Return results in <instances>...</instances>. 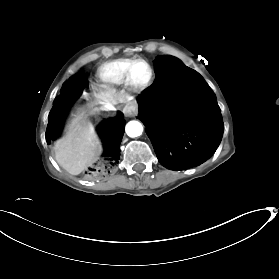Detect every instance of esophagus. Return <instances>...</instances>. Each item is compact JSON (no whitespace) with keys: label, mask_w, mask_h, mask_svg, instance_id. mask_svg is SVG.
<instances>
[{"label":"esophagus","mask_w":279,"mask_h":279,"mask_svg":"<svg viewBox=\"0 0 279 279\" xmlns=\"http://www.w3.org/2000/svg\"><path fill=\"white\" fill-rule=\"evenodd\" d=\"M123 112L126 117H134L138 113V106L136 103H129L124 107Z\"/></svg>","instance_id":"obj_1"}]
</instances>
